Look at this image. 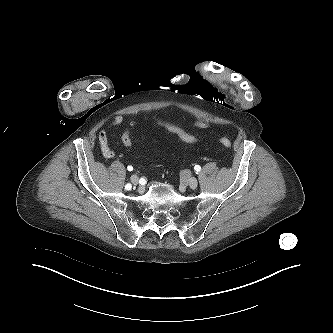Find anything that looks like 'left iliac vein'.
I'll list each match as a JSON object with an SVG mask.
<instances>
[{
  "instance_id": "left-iliac-vein-1",
  "label": "left iliac vein",
  "mask_w": 333,
  "mask_h": 333,
  "mask_svg": "<svg viewBox=\"0 0 333 333\" xmlns=\"http://www.w3.org/2000/svg\"><path fill=\"white\" fill-rule=\"evenodd\" d=\"M184 181L188 184L191 189H195L198 185L197 179L194 177L186 176Z\"/></svg>"
}]
</instances>
